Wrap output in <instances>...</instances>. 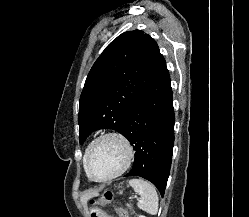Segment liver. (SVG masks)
Masks as SVG:
<instances>
[{
	"instance_id": "liver-1",
	"label": "liver",
	"mask_w": 249,
	"mask_h": 217,
	"mask_svg": "<svg viewBox=\"0 0 249 217\" xmlns=\"http://www.w3.org/2000/svg\"><path fill=\"white\" fill-rule=\"evenodd\" d=\"M97 194H98V193H96V192H89V193L84 194V195L81 197V202H82V204H83V205H86L87 200H88L89 198H91V197L96 196Z\"/></svg>"
}]
</instances>
